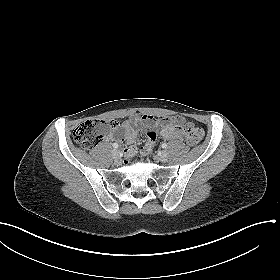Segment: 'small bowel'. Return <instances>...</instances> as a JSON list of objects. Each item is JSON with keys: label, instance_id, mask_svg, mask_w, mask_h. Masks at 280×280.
<instances>
[{"label": "small bowel", "instance_id": "obj_1", "mask_svg": "<svg viewBox=\"0 0 280 280\" xmlns=\"http://www.w3.org/2000/svg\"><path fill=\"white\" fill-rule=\"evenodd\" d=\"M183 123L184 118L181 116L164 117L157 120L151 115H143L125 121L122 124V134L120 135V138L129 145L125 149V155L132 157L138 151V147L135 144L137 139L136 125L141 124L144 127L147 138L145 146L152 148L158 141V135L166 139H181L183 137ZM155 128H158V131Z\"/></svg>", "mask_w": 280, "mask_h": 280}]
</instances>
